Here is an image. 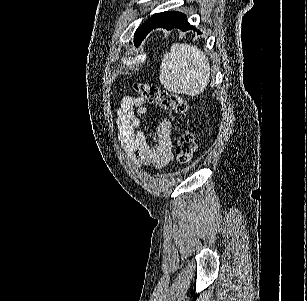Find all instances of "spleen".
<instances>
[{"instance_id": "obj_1", "label": "spleen", "mask_w": 307, "mask_h": 301, "mask_svg": "<svg viewBox=\"0 0 307 301\" xmlns=\"http://www.w3.org/2000/svg\"><path fill=\"white\" fill-rule=\"evenodd\" d=\"M210 74V62L201 48L187 42H173L163 56L159 80L171 92L197 96L208 86Z\"/></svg>"}]
</instances>
